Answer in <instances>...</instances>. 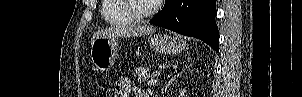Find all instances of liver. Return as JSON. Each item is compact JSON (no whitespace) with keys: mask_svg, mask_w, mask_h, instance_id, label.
I'll return each instance as SVG.
<instances>
[{"mask_svg":"<svg viewBox=\"0 0 302 97\" xmlns=\"http://www.w3.org/2000/svg\"><path fill=\"white\" fill-rule=\"evenodd\" d=\"M154 27L141 25H121L109 29L96 31L92 37V43L97 37H138L154 33Z\"/></svg>","mask_w":302,"mask_h":97,"instance_id":"1","label":"liver"}]
</instances>
